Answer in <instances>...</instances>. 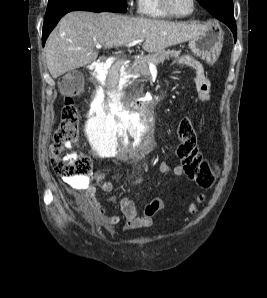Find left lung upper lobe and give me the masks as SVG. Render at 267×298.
<instances>
[{
  "instance_id": "left-lung-upper-lobe-1",
  "label": "left lung upper lobe",
  "mask_w": 267,
  "mask_h": 298,
  "mask_svg": "<svg viewBox=\"0 0 267 298\" xmlns=\"http://www.w3.org/2000/svg\"><path fill=\"white\" fill-rule=\"evenodd\" d=\"M198 2L219 20L234 15L232 0H198Z\"/></svg>"
}]
</instances>
